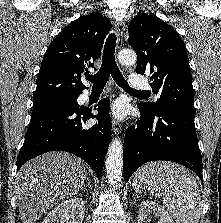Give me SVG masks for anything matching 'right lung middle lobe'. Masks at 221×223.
I'll return each mask as SVG.
<instances>
[{"instance_id":"1","label":"right lung middle lobe","mask_w":221,"mask_h":223,"mask_svg":"<svg viewBox=\"0 0 221 223\" xmlns=\"http://www.w3.org/2000/svg\"><path fill=\"white\" fill-rule=\"evenodd\" d=\"M63 108H79L77 103V97L62 99L42 104H34L33 107V115L41 114L47 111L55 110V109H63Z\"/></svg>"}]
</instances>
